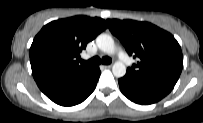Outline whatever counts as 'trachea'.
Instances as JSON below:
<instances>
[{"label":"trachea","instance_id":"trachea-1","mask_svg":"<svg viewBox=\"0 0 203 123\" xmlns=\"http://www.w3.org/2000/svg\"><path fill=\"white\" fill-rule=\"evenodd\" d=\"M101 62L103 64L108 65V64H110L112 62V59L109 58V57H102V59H101L98 56H95V57H93L92 59H90L88 61H83L82 63L83 64H89V65H98V64H101Z\"/></svg>","mask_w":203,"mask_h":123}]
</instances>
